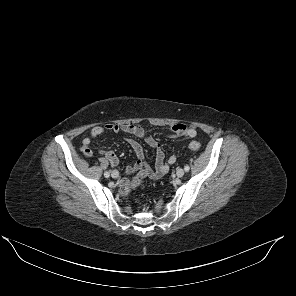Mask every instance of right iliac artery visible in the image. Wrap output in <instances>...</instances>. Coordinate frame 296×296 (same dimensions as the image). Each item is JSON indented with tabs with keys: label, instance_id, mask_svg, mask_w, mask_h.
<instances>
[{
	"label": "right iliac artery",
	"instance_id": "obj_1",
	"mask_svg": "<svg viewBox=\"0 0 296 296\" xmlns=\"http://www.w3.org/2000/svg\"><path fill=\"white\" fill-rule=\"evenodd\" d=\"M104 176H105L106 178H108V177L110 176L109 172L106 171V172L104 173Z\"/></svg>",
	"mask_w": 296,
	"mask_h": 296
}]
</instances>
